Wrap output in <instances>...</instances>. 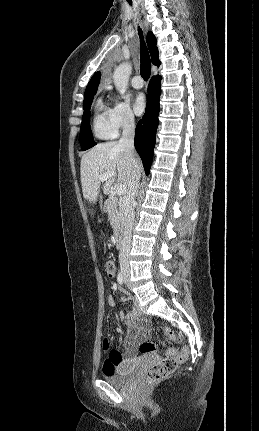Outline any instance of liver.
Listing matches in <instances>:
<instances>
[{
  "mask_svg": "<svg viewBox=\"0 0 259 431\" xmlns=\"http://www.w3.org/2000/svg\"><path fill=\"white\" fill-rule=\"evenodd\" d=\"M135 165L136 170L141 173L142 163L137 155ZM107 171H114L116 177L105 181L104 194L109 192L115 182L125 185L129 191L133 169L127 162L125 150L120 148L117 142L98 144L82 156L80 166L82 192L90 203H96L101 186L99 177Z\"/></svg>",
  "mask_w": 259,
  "mask_h": 431,
  "instance_id": "6515ba94",
  "label": "liver"
}]
</instances>
